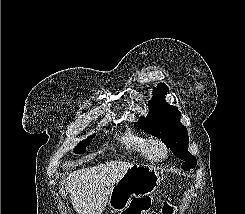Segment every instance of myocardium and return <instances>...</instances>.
Here are the masks:
<instances>
[{"instance_id": "f54148a6", "label": "myocardium", "mask_w": 245, "mask_h": 214, "mask_svg": "<svg viewBox=\"0 0 245 214\" xmlns=\"http://www.w3.org/2000/svg\"><path fill=\"white\" fill-rule=\"evenodd\" d=\"M157 151L159 153H157ZM169 148L166 143L158 138L150 139L148 142V156L152 161H162L168 157Z\"/></svg>"}]
</instances>
